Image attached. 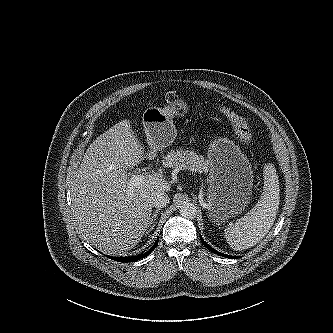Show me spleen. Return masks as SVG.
Here are the masks:
<instances>
[{
	"label": "spleen",
	"mask_w": 333,
	"mask_h": 333,
	"mask_svg": "<svg viewBox=\"0 0 333 333\" xmlns=\"http://www.w3.org/2000/svg\"><path fill=\"white\" fill-rule=\"evenodd\" d=\"M263 175V192L256 205L224 230L227 243L236 251L259 243L275 221L280 202L279 180L275 166L272 163L265 164Z\"/></svg>",
	"instance_id": "spleen-1"
}]
</instances>
